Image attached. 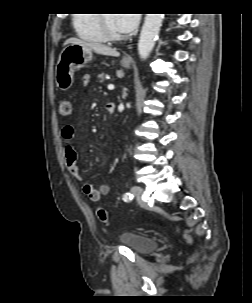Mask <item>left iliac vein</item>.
I'll return each mask as SVG.
<instances>
[{
	"label": "left iliac vein",
	"mask_w": 252,
	"mask_h": 303,
	"mask_svg": "<svg viewBox=\"0 0 252 303\" xmlns=\"http://www.w3.org/2000/svg\"><path fill=\"white\" fill-rule=\"evenodd\" d=\"M131 192L136 196L137 201L139 202V204H144L141 195L143 193V189L139 186H134L131 189Z\"/></svg>",
	"instance_id": "left-iliac-vein-1"
}]
</instances>
